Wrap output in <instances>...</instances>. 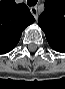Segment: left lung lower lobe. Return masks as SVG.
<instances>
[{
    "label": "left lung lower lobe",
    "instance_id": "left-lung-lower-lobe-1",
    "mask_svg": "<svg viewBox=\"0 0 65 89\" xmlns=\"http://www.w3.org/2000/svg\"><path fill=\"white\" fill-rule=\"evenodd\" d=\"M54 50H56V51H58V52H61V53H65V50H63V49L55 48Z\"/></svg>",
    "mask_w": 65,
    "mask_h": 89
}]
</instances>
